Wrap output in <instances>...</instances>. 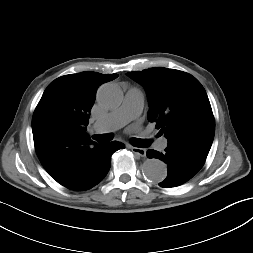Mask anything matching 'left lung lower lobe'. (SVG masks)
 <instances>
[{
  "label": "left lung lower lobe",
  "instance_id": "left-lung-lower-lobe-1",
  "mask_svg": "<svg viewBox=\"0 0 253 253\" xmlns=\"http://www.w3.org/2000/svg\"><path fill=\"white\" fill-rule=\"evenodd\" d=\"M149 158H158L167 164L168 174L159 183L161 187H176L191 179L204 165L207 155L168 145L164 153L148 150Z\"/></svg>",
  "mask_w": 253,
  "mask_h": 253
}]
</instances>
